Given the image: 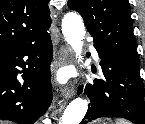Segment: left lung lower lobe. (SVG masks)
<instances>
[{"instance_id":"1","label":"left lung lower lobe","mask_w":145,"mask_h":124,"mask_svg":"<svg viewBox=\"0 0 145 124\" xmlns=\"http://www.w3.org/2000/svg\"><path fill=\"white\" fill-rule=\"evenodd\" d=\"M94 46L101 59L105 79H96L93 85L86 86L85 93L91 103L81 124L109 116L122 117L135 124H145L144 86L140 78V65L104 53Z\"/></svg>"}]
</instances>
